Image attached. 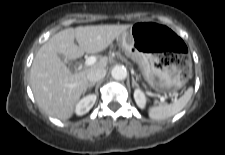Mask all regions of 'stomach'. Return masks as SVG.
I'll use <instances>...</instances> for the list:
<instances>
[{
  "mask_svg": "<svg viewBox=\"0 0 225 155\" xmlns=\"http://www.w3.org/2000/svg\"><path fill=\"white\" fill-rule=\"evenodd\" d=\"M120 39L126 55L138 62L153 89H179L187 82L188 60L180 38L169 27L138 22L123 32Z\"/></svg>",
  "mask_w": 225,
  "mask_h": 155,
  "instance_id": "obj_1",
  "label": "stomach"
}]
</instances>
